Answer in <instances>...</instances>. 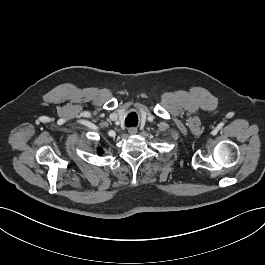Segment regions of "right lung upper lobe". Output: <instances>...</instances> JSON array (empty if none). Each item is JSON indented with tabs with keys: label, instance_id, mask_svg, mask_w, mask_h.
I'll use <instances>...</instances> for the list:
<instances>
[{
	"label": "right lung upper lobe",
	"instance_id": "obj_1",
	"mask_svg": "<svg viewBox=\"0 0 265 265\" xmlns=\"http://www.w3.org/2000/svg\"><path fill=\"white\" fill-rule=\"evenodd\" d=\"M99 152H100V153L102 152L101 149H99Z\"/></svg>",
	"mask_w": 265,
	"mask_h": 265
}]
</instances>
